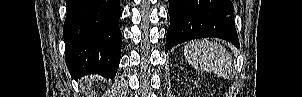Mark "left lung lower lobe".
Wrapping results in <instances>:
<instances>
[{
	"label": "left lung lower lobe",
	"mask_w": 302,
	"mask_h": 97,
	"mask_svg": "<svg viewBox=\"0 0 302 97\" xmlns=\"http://www.w3.org/2000/svg\"><path fill=\"white\" fill-rule=\"evenodd\" d=\"M166 47L197 38L217 37L239 47L231 0H168Z\"/></svg>",
	"instance_id": "left-lung-lower-lobe-1"
}]
</instances>
